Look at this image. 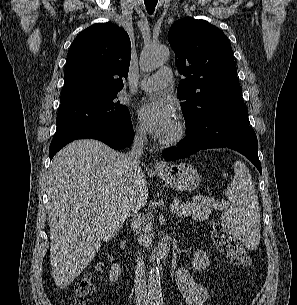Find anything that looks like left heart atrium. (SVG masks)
I'll return each mask as SVG.
<instances>
[{
    "label": "left heart atrium",
    "instance_id": "39dd6f15",
    "mask_svg": "<svg viewBox=\"0 0 297 305\" xmlns=\"http://www.w3.org/2000/svg\"><path fill=\"white\" fill-rule=\"evenodd\" d=\"M145 128L154 136L165 138L176 123L175 109L170 99L151 97L146 99L139 110Z\"/></svg>",
    "mask_w": 297,
    "mask_h": 305
}]
</instances>
